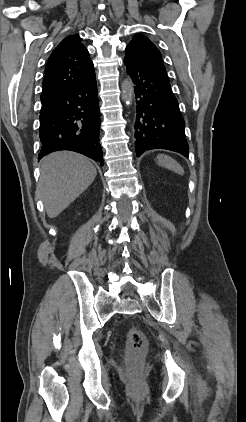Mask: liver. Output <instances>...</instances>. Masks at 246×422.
Returning a JSON list of instances; mask_svg holds the SVG:
<instances>
[{"mask_svg":"<svg viewBox=\"0 0 246 422\" xmlns=\"http://www.w3.org/2000/svg\"><path fill=\"white\" fill-rule=\"evenodd\" d=\"M97 171L91 161L70 151L54 152L41 160L37 193L49 218L57 217L94 181Z\"/></svg>","mask_w":246,"mask_h":422,"instance_id":"6515ba94","label":"liver"}]
</instances>
